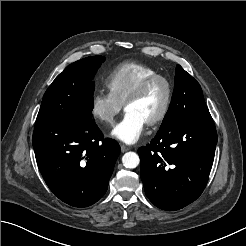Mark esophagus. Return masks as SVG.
Instances as JSON below:
<instances>
[{
  "mask_svg": "<svg viewBox=\"0 0 246 246\" xmlns=\"http://www.w3.org/2000/svg\"><path fill=\"white\" fill-rule=\"evenodd\" d=\"M120 148H121V152H122V153H124V152H126V151H129V150L131 149L129 146H126V145H124V144H122V145L120 146Z\"/></svg>",
  "mask_w": 246,
  "mask_h": 246,
  "instance_id": "obj_1",
  "label": "esophagus"
}]
</instances>
